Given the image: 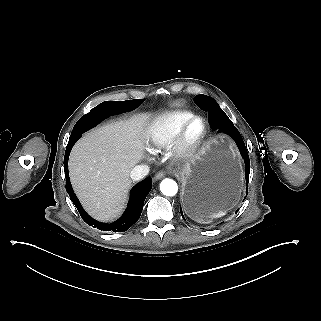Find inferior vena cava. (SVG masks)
Returning a JSON list of instances; mask_svg holds the SVG:
<instances>
[{
	"label": "inferior vena cava",
	"instance_id": "1",
	"mask_svg": "<svg viewBox=\"0 0 321 321\" xmlns=\"http://www.w3.org/2000/svg\"><path fill=\"white\" fill-rule=\"evenodd\" d=\"M150 169L147 165H136L132 168L130 172V177L134 180H139L148 175Z\"/></svg>",
	"mask_w": 321,
	"mask_h": 321
}]
</instances>
